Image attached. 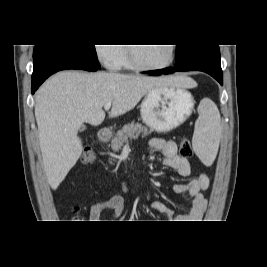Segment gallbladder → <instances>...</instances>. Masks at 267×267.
I'll return each mask as SVG.
<instances>
[{"label":"gallbladder","mask_w":267,"mask_h":267,"mask_svg":"<svg viewBox=\"0 0 267 267\" xmlns=\"http://www.w3.org/2000/svg\"><path fill=\"white\" fill-rule=\"evenodd\" d=\"M85 129H86V127L84 125L80 127V131H83Z\"/></svg>","instance_id":"obj_1"}]
</instances>
